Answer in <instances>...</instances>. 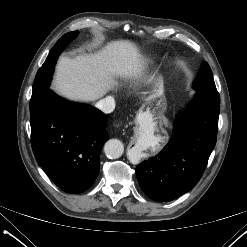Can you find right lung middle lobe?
<instances>
[{
	"label": "right lung middle lobe",
	"mask_w": 247,
	"mask_h": 247,
	"mask_svg": "<svg viewBox=\"0 0 247 247\" xmlns=\"http://www.w3.org/2000/svg\"><path fill=\"white\" fill-rule=\"evenodd\" d=\"M78 32H69L63 35L57 43L54 45L50 53L48 54L44 64L38 70L34 83H33V92L30 100V112H33L36 107L40 105L43 98L50 90L49 85L52 79V74L54 71V65L56 60L63 48L76 36Z\"/></svg>",
	"instance_id": "1"
}]
</instances>
